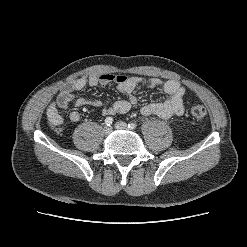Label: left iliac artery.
<instances>
[{
	"mask_svg": "<svg viewBox=\"0 0 247 247\" xmlns=\"http://www.w3.org/2000/svg\"><path fill=\"white\" fill-rule=\"evenodd\" d=\"M128 128L135 129L136 128V124L131 122V123L128 124Z\"/></svg>",
	"mask_w": 247,
	"mask_h": 247,
	"instance_id": "left-iliac-artery-1",
	"label": "left iliac artery"
}]
</instances>
